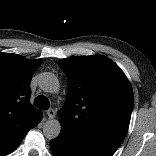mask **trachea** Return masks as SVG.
Returning a JSON list of instances; mask_svg holds the SVG:
<instances>
[{
  "mask_svg": "<svg viewBox=\"0 0 156 156\" xmlns=\"http://www.w3.org/2000/svg\"><path fill=\"white\" fill-rule=\"evenodd\" d=\"M34 105L42 110H47L50 106V102L44 95H39L35 98Z\"/></svg>",
  "mask_w": 156,
  "mask_h": 156,
  "instance_id": "3493384b",
  "label": "trachea"
}]
</instances>
